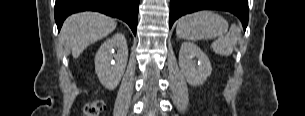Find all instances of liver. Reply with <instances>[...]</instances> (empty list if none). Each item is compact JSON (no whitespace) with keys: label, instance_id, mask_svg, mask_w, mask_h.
I'll list each match as a JSON object with an SVG mask.
<instances>
[{"label":"liver","instance_id":"6515ba94","mask_svg":"<svg viewBox=\"0 0 305 116\" xmlns=\"http://www.w3.org/2000/svg\"><path fill=\"white\" fill-rule=\"evenodd\" d=\"M116 20L97 12L86 11L68 17L61 29L60 38L78 58L89 45L105 38L116 28Z\"/></svg>","mask_w":305,"mask_h":116}]
</instances>
